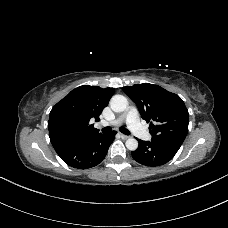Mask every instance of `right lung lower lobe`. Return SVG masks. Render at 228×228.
I'll return each mask as SVG.
<instances>
[{
  "label": "right lung lower lobe",
  "instance_id": "98d812e1",
  "mask_svg": "<svg viewBox=\"0 0 228 228\" xmlns=\"http://www.w3.org/2000/svg\"><path fill=\"white\" fill-rule=\"evenodd\" d=\"M116 131L97 134L87 139L67 141L53 146L60 158L69 166L86 169L98 165L106 156Z\"/></svg>",
  "mask_w": 228,
  "mask_h": 228
}]
</instances>
